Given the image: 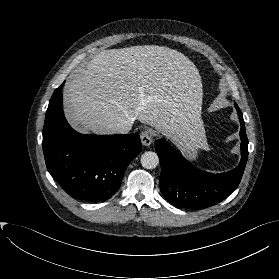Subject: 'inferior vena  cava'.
Returning a JSON list of instances; mask_svg holds the SVG:
<instances>
[{
	"label": "inferior vena cava",
	"instance_id": "602c4592",
	"mask_svg": "<svg viewBox=\"0 0 279 279\" xmlns=\"http://www.w3.org/2000/svg\"><path fill=\"white\" fill-rule=\"evenodd\" d=\"M131 130V125L125 126L119 130V133L125 134Z\"/></svg>",
	"mask_w": 279,
	"mask_h": 279
}]
</instances>
